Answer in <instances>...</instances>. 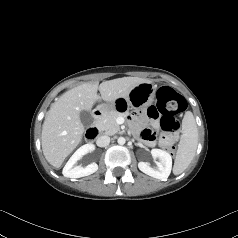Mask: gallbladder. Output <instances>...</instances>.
Instances as JSON below:
<instances>
[{
    "label": "gallbladder",
    "mask_w": 238,
    "mask_h": 238,
    "mask_svg": "<svg viewBox=\"0 0 238 238\" xmlns=\"http://www.w3.org/2000/svg\"><path fill=\"white\" fill-rule=\"evenodd\" d=\"M80 120L85 127H88L93 122V116L90 111L84 110L80 112Z\"/></svg>",
    "instance_id": "gallbladder-1"
}]
</instances>
